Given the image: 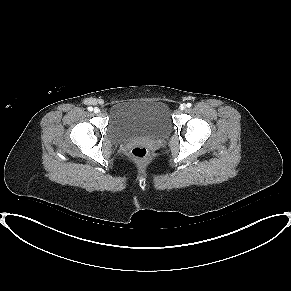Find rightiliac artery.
Masks as SVG:
<instances>
[{
  "instance_id": "82829eb1",
  "label": "right iliac artery",
  "mask_w": 291,
  "mask_h": 291,
  "mask_svg": "<svg viewBox=\"0 0 291 291\" xmlns=\"http://www.w3.org/2000/svg\"><path fill=\"white\" fill-rule=\"evenodd\" d=\"M93 110V107H88V111H92Z\"/></svg>"
}]
</instances>
